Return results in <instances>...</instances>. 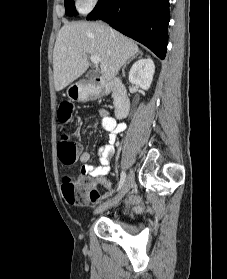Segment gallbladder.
<instances>
[{
	"mask_svg": "<svg viewBox=\"0 0 227 279\" xmlns=\"http://www.w3.org/2000/svg\"><path fill=\"white\" fill-rule=\"evenodd\" d=\"M97 75V73L95 71H89L87 74H86V78L91 81L95 76Z\"/></svg>",
	"mask_w": 227,
	"mask_h": 279,
	"instance_id": "gallbladder-1",
	"label": "gallbladder"
}]
</instances>
